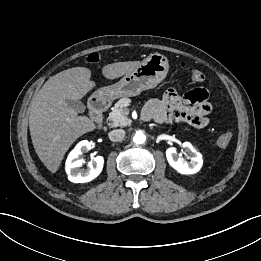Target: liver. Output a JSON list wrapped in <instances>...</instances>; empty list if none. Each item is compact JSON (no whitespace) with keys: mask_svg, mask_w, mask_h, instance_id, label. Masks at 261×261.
I'll use <instances>...</instances> for the list:
<instances>
[{"mask_svg":"<svg viewBox=\"0 0 261 261\" xmlns=\"http://www.w3.org/2000/svg\"><path fill=\"white\" fill-rule=\"evenodd\" d=\"M140 61L116 62L105 65L107 79L121 77L135 69ZM91 70L74 67L64 70L42 86L30 103L29 129L34 149L46 168L55 173L75 140L96 128L87 116L67 105L66 99L79 100L95 87L90 81Z\"/></svg>","mask_w":261,"mask_h":261,"instance_id":"obj_1","label":"liver"}]
</instances>
